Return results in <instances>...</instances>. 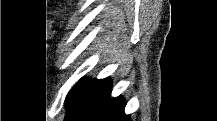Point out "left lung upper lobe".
<instances>
[{
    "label": "left lung upper lobe",
    "instance_id": "left-lung-upper-lobe-1",
    "mask_svg": "<svg viewBox=\"0 0 217 121\" xmlns=\"http://www.w3.org/2000/svg\"><path fill=\"white\" fill-rule=\"evenodd\" d=\"M95 80L81 78L66 98L67 113L65 121H74L86 104L88 93Z\"/></svg>",
    "mask_w": 217,
    "mask_h": 121
}]
</instances>
